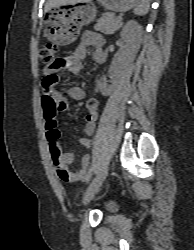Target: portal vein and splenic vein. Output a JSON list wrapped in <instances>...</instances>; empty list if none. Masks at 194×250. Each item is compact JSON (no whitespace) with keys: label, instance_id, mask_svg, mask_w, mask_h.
I'll return each mask as SVG.
<instances>
[{"label":"portal vein and splenic vein","instance_id":"1","mask_svg":"<svg viewBox=\"0 0 194 250\" xmlns=\"http://www.w3.org/2000/svg\"><path fill=\"white\" fill-rule=\"evenodd\" d=\"M118 20H119V21H122V17H121V16H119V17H118Z\"/></svg>","mask_w":194,"mask_h":250}]
</instances>
